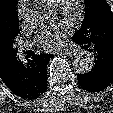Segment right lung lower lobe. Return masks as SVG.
<instances>
[{"label": "right lung lower lobe", "mask_w": 113, "mask_h": 113, "mask_svg": "<svg viewBox=\"0 0 113 113\" xmlns=\"http://www.w3.org/2000/svg\"><path fill=\"white\" fill-rule=\"evenodd\" d=\"M52 54L34 55L27 63L14 60L3 80L6 86L23 99H35L47 88V64Z\"/></svg>", "instance_id": "right-lung-lower-lobe-1"}]
</instances>
